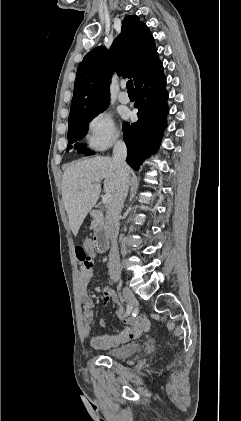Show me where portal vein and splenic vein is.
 <instances>
[{
    "label": "portal vein and splenic vein",
    "mask_w": 241,
    "mask_h": 421,
    "mask_svg": "<svg viewBox=\"0 0 241 421\" xmlns=\"http://www.w3.org/2000/svg\"><path fill=\"white\" fill-rule=\"evenodd\" d=\"M111 200H112V195L111 194H105L102 197V203L103 204H109L111 202Z\"/></svg>",
    "instance_id": "portal-vein-and-splenic-vein-1"
}]
</instances>
